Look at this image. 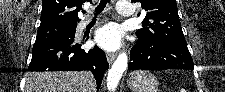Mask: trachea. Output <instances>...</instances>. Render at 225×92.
<instances>
[{"label":"trachea","instance_id":"1","mask_svg":"<svg viewBox=\"0 0 225 92\" xmlns=\"http://www.w3.org/2000/svg\"><path fill=\"white\" fill-rule=\"evenodd\" d=\"M109 2H110V0H100L99 5L95 9V16L97 14L101 13L104 10V8L106 7L107 3H109ZM84 13H86V12L84 11Z\"/></svg>","mask_w":225,"mask_h":92}]
</instances>
